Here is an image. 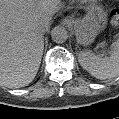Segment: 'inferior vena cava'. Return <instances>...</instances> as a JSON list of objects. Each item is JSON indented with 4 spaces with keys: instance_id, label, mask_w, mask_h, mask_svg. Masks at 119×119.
I'll use <instances>...</instances> for the list:
<instances>
[{
    "instance_id": "1",
    "label": "inferior vena cava",
    "mask_w": 119,
    "mask_h": 119,
    "mask_svg": "<svg viewBox=\"0 0 119 119\" xmlns=\"http://www.w3.org/2000/svg\"><path fill=\"white\" fill-rule=\"evenodd\" d=\"M47 25H48V23H43V22H42V23H41V28L44 29V28L47 27Z\"/></svg>"
}]
</instances>
